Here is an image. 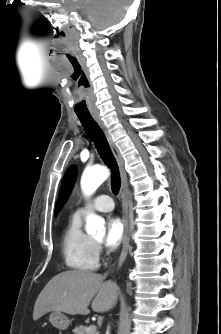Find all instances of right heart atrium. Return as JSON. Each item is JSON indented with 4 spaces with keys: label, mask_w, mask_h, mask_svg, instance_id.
<instances>
[{
    "label": "right heart atrium",
    "mask_w": 221,
    "mask_h": 334,
    "mask_svg": "<svg viewBox=\"0 0 221 334\" xmlns=\"http://www.w3.org/2000/svg\"><path fill=\"white\" fill-rule=\"evenodd\" d=\"M98 250H99V251L101 250V247H100V246H98Z\"/></svg>",
    "instance_id": "right-heart-atrium-1"
}]
</instances>
